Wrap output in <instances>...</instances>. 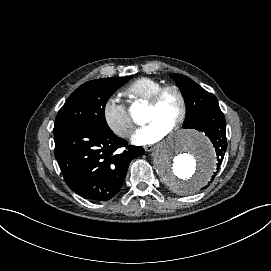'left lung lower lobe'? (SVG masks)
<instances>
[{"instance_id":"obj_1","label":"left lung lower lobe","mask_w":271,"mask_h":271,"mask_svg":"<svg viewBox=\"0 0 271 271\" xmlns=\"http://www.w3.org/2000/svg\"><path fill=\"white\" fill-rule=\"evenodd\" d=\"M196 129L204 132L212 142L216 151V169L218 171L227 149L226 120L223 112L220 110V108L214 109L201 122L198 123ZM216 174L217 172H214L211 181H213Z\"/></svg>"}]
</instances>
